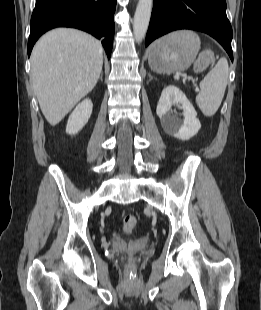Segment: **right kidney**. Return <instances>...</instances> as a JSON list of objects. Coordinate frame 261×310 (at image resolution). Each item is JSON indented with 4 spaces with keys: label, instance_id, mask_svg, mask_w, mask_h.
<instances>
[{
    "label": "right kidney",
    "instance_id": "ca27d5eb",
    "mask_svg": "<svg viewBox=\"0 0 261 310\" xmlns=\"http://www.w3.org/2000/svg\"><path fill=\"white\" fill-rule=\"evenodd\" d=\"M92 108L93 105L90 99H85L79 103L69 116L66 133L69 135L77 134L88 122Z\"/></svg>",
    "mask_w": 261,
    "mask_h": 310
}]
</instances>
